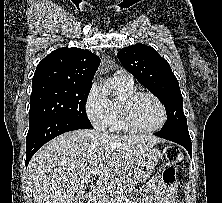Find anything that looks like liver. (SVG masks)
Segmentation results:
<instances>
[{
  "label": "liver",
  "instance_id": "1",
  "mask_svg": "<svg viewBox=\"0 0 222 203\" xmlns=\"http://www.w3.org/2000/svg\"><path fill=\"white\" fill-rule=\"evenodd\" d=\"M159 138L74 130L47 142L28 165L35 203H84L88 182L118 180L142 162ZM99 168L97 174L92 171Z\"/></svg>",
  "mask_w": 222,
  "mask_h": 203
}]
</instances>
